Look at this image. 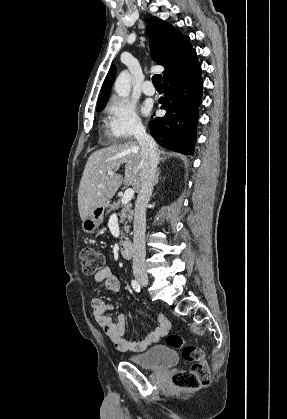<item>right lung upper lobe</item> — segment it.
Listing matches in <instances>:
<instances>
[{"label": "right lung upper lobe", "instance_id": "cb5924a9", "mask_svg": "<svg viewBox=\"0 0 287 419\" xmlns=\"http://www.w3.org/2000/svg\"><path fill=\"white\" fill-rule=\"evenodd\" d=\"M146 32L149 36L152 58L165 68L163 81L184 74L199 65L189 37L180 34L169 23L152 17L147 21ZM115 75L116 68L113 65L102 85L97 107L106 105Z\"/></svg>", "mask_w": 287, "mask_h": 419}]
</instances>
